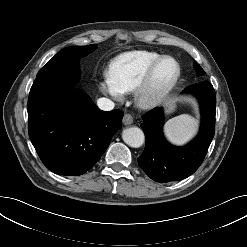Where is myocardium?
I'll return each mask as SVG.
<instances>
[{
	"mask_svg": "<svg viewBox=\"0 0 247 247\" xmlns=\"http://www.w3.org/2000/svg\"><path fill=\"white\" fill-rule=\"evenodd\" d=\"M172 61L176 67L173 78L161 87H155L153 84L156 70L163 61ZM181 75V66L179 62L171 56H161L148 69L144 77L138 83L134 91V99L138 107L147 109L160 103L176 86Z\"/></svg>",
	"mask_w": 247,
	"mask_h": 247,
	"instance_id": "1",
	"label": "myocardium"
}]
</instances>
